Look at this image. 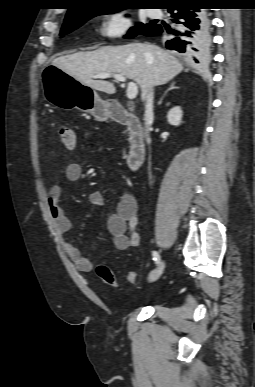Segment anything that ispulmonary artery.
I'll return each mask as SVG.
<instances>
[{"instance_id": "e3ab8cb5", "label": "pulmonary artery", "mask_w": 255, "mask_h": 387, "mask_svg": "<svg viewBox=\"0 0 255 387\" xmlns=\"http://www.w3.org/2000/svg\"><path fill=\"white\" fill-rule=\"evenodd\" d=\"M148 15L152 18H158L161 16V11L158 9H151L148 11Z\"/></svg>"}]
</instances>
